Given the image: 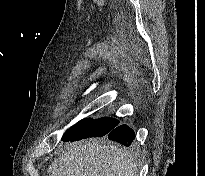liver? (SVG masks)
<instances>
[{"instance_id":"liver-1","label":"liver","mask_w":205,"mask_h":176,"mask_svg":"<svg viewBox=\"0 0 205 176\" xmlns=\"http://www.w3.org/2000/svg\"><path fill=\"white\" fill-rule=\"evenodd\" d=\"M47 172L49 176H137L138 169L125 148L88 139L67 145Z\"/></svg>"}]
</instances>
